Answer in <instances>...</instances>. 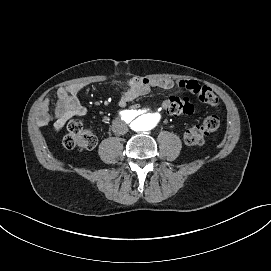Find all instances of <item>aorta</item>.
<instances>
[{
  "mask_svg": "<svg viewBox=\"0 0 271 271\" xmlns=\"http://www.w3.org/2000/svg\"><path fill=\"white\" fill-rule=\"evenodd\" d=\"M159 120H160V114L158 113L150 114L148 117V127L151 128L155 126Z\"/></svg>",
  "mask_w": 271,
  "mask_h": 271,
  "instance_id": "obj_1",
  "label": "aorta"
}]
</instances>
